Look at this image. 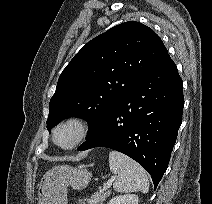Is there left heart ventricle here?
<instances>
[{
    "instance_id": "obj_1",
    "label": "left heart ventricle",
    "mask_w": 212,
    "mask_h": 204,
    "mask_svg": "<svg viewBox=\"0 0 212 204\" xmlns=\"http://www.w3.org/2000/svg\"><path fill=\"white\" fill-rule=\"evenodd\" d=\"M76 137V130L73 127H65L59 130L57 141L61 145H69Z\"/></svg>"
}]
</instances>
